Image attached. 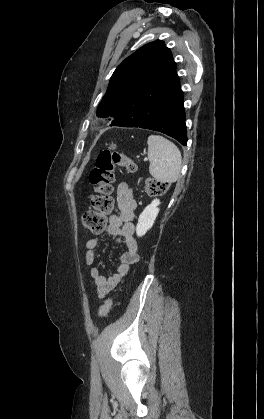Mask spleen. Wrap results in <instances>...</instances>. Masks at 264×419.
<instances>
[{
    "label": "spleen",
    "instance_id": "3e777b00",
    "mask_svg": "<svg viewBox=\"0 0 264 419\" xmlns=\"http://www.w3.org/2000/svg\"><path fill=\"white\" fill-rule=\"evenodd\" d=\"M149 173L157 181L176 182L181 170L182 156L178 147L160 135H150L147 140Z\"/></svg>",
    "mask_w": 264,
    "mask_h": 419
}]
</instances>
